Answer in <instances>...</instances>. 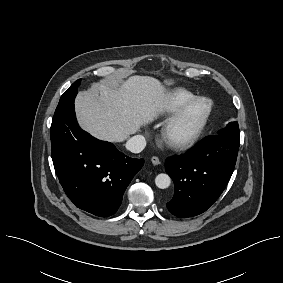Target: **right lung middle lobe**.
<instances>
[{"label": "right lung middle lobe", "instance_id": "right-lung-middle-lobe-1", "mask_svg": "<svg viewBox=\"0 0 283 283\" xmlns=\"http://www.w3.org/2000/svg\"><path fill=\"white\" fill-rule=\"evenodd\" d=\"M80 81H81L80 79L75 81L66 92L73 91L75 88H77L79 86V84H80Z\"/></svg>", "mask_w": 283, "mask_h": 283}]
</instances>
